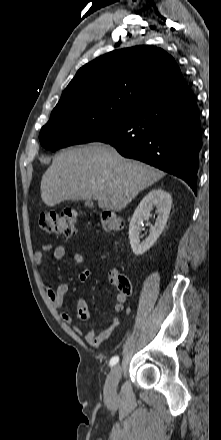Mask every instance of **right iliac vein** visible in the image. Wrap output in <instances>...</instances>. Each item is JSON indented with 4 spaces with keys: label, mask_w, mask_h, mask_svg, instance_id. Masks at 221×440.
<instances>
[{
    "label": "right iliac vein",
    "mask_w": 221,
    "mask_h": 440,
    "mask_svg": "<svg viewBox=\"0 0 221 440\" xmlns=\"http://www.w3.org/2000/svg\"><path fill=\"white\" fill-rule=\"evenodd\" d=\"M121 367L115 365L112 367L104 387V394L107 399H113L117 395V386L121 378Z\"/></svg>",
    "instance_id": "63e3f726"
}]
</instances>
